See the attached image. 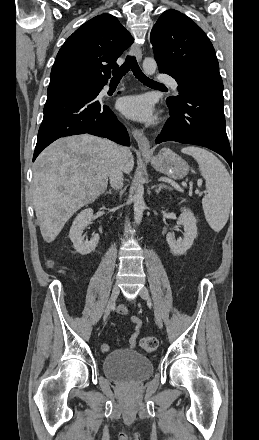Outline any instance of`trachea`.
I'll return each instance as SVG.
<instances>
[{
    "label": "trachea",
    "mask_w": 259,
    "mask_h": 440,
    "mask_svg": "<svg viewBox=\"0 0 259 440\" xmlns=\"http://www.w3.org/2000/svg\"><path fill=\"white\" fill-rule=\"evenodd\" d=\"M130 68L132 69V72L135 75V77L138 80H140L142 83L147 85H158V86L162 85L149 79L144 75L134 56H127L124 64L120 68L113 71L112 81L119 82L122 79V77L130 70Z\"/></svg>",
    "instance_id": "3493384b"
}]
</instances>
